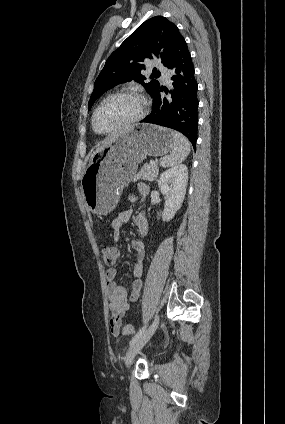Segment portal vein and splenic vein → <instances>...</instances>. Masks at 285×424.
I'll return each instance as SVG.
<instances>
[{
  "instance_id": "1",
  "label": "portal vein and splenic vein",
  "mask_w": 285,
  "mask_h": 424,
  "mask_svg": "<svg viewBox=\"0 0 285 424\" xmlns=\"http://www.w3.org/2000/svg\"><path fill=\"white\" fill-rule=\"evenodd\" d=\"M151 164L155 163V161H150Z\"/></svg>"
}]
</instances>
